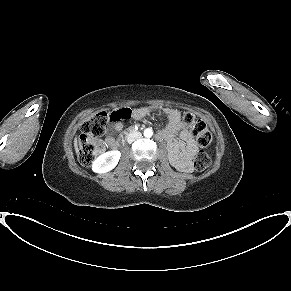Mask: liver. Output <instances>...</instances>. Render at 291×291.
<instances>
[{
    "instance_id": "1",
    "label": "liver",
    "mask_w": 291,
    "mask_h": 291,
    "mask_svg": "<svg viewBox=\"0 0 291 291\" xmlns=\"http://www.w3.org/2000/svg\"><path fill=\"white\" fill-rule=\"evenodd\" d=\"M75 149H76V152H78V148H77V142L75 141Z\"/></svg>"
}]
</instances>
